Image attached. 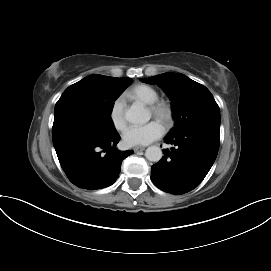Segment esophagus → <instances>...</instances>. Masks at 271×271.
Masks as SVG:
<instances>
[{
    "mask_svg": "<svg viewBox=\"0 0 271 271\" xmlns=\"http://www.w3.org/2000/svg\"><path fill=\"white\" fill-rule=\"evenodd\" d=\"M134 152H141L145 150V147L143 146H136L133 148Z\"/></svg>",
    "mask_w": 271,
    "mask_h": 271,
    "instance_id": "1",
    "label": "esophagus"
}]
</instances>
